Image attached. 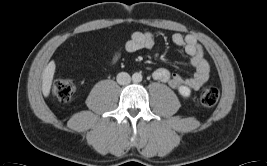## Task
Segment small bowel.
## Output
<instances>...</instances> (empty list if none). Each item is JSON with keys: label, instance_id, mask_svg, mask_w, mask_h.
I'll return each instance as SVG.
<instances>
[{"label": "small bowel", "instance_id": "c3829d8e", "mask_svg": "<svg viewBox=\"0 0 267 166\" xmlns=\"http://www.w3.org/2000/svg\"><path fill=\"white\" fill-rule=\"evenodd\" d=\"M173 43L183 49L190 58V64L194 67L195 73L191 77H183L172 73L167 68H158L153 72L154 79L168 83L173 88L187 87L191 90H198L208 80L210 67L204 58L203 51L197 40L192 35L175 33L172 36ZM155 45L154 35L150 32H134L125 43L123 52L134 53L142 49H152ZM122 51H116L106 62L107 65L115 64L121 58Z\"/></svg>", "mask_w": 267, "mask_h": 166}]
</instances>
